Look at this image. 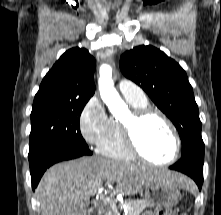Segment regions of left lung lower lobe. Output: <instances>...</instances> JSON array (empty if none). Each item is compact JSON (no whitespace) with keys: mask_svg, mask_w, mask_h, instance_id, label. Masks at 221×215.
I'll list each match as a JSON object with an SVG mask.
<instances>
[{"mask_svg":"<svg viewBox=\"0 0 221 215\" xmlns=\"http://www.w3.org/2000/svg\"><path fill=\"white\" fill-rule=\"evenodd\" d=\"M203 163L204 153L192 151L181 156V159L170 166V169L190 176L198 185L199 190H201L203 183Z\"/></svg>","mask_w":221,"mask_h":215,"instance_id":"left-lung-lower-lobe-1","label":"left lung lower lobe"}]
</instances>
